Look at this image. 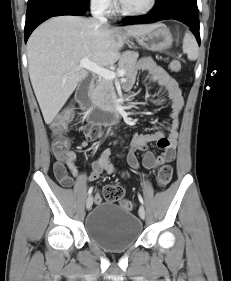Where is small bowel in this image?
Returning <instances> with one entry per match:
<instances>
[{"label":"small bowel","instance_id":"c3829d8e","mask_svg":"<svg viewBox=\"0 0 231 281\" xmlns=\"http://www.w3.org/2000/svg\"><path fill=\"white\" fill-rule=\"evenodd\" d=\"M138 69L146 73L147 79L155 82L159 87V94L166 95L171 103L170 122L166 130L167 134L155 132L152 134L136 135L131 143V148L127 154V163L134 170H138L141 165L136 156V151L143 152L142 166L147 170L156 169L166 163L172 162L176 157V147L178 142L179 118L184 105L181 89L178 83L159 67L152 58L143 57L138 63ZM136 73H132L125 82V89L130 90L135 84ZM163 98L151 99L156 105L165 103ZM82 141L80 148H85L89 142L94 141L100 136V128L90 124H84L80 127ZM150 143H156L162 150L159 155H155L148 147ZM110 150H104L100 157L92 163V172L85 175L79 172L76 167V155L74 152L69 153L65 161H56L53 165L54 174L59 183L64 187H71L73 180L69 176L66 166H68L74 178L80 181L91 182L97 180L103 172H119L126 177L128 174L119 171L110 161Z\"/></svg>","mask_w":231,"mask_h":281}]
</instances>
